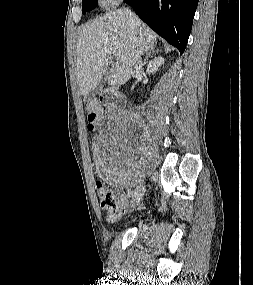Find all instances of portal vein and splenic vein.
<instances>
[{
    "label": "portal vein and splenic vein",
    "instance_id": "portal-vein-and-splenic-vein-1",
    "mask_svg": "<svg viewBox=\"0 0 253 285\" xmlns=\"http://www.w3.org/2000/svg\"><path fill=\"white\" fill-rule=\"evenodd\" d=\"M115 58H116V60H118V61L120 60V57H118V55H116Z\"/></svg>",
    "mask_w": 253,
    "mask_h": 285
}]
</instances>
